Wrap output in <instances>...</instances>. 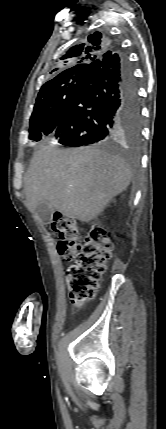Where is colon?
I'll use <instances>...</instances> for the list:
<instances>
[{
	"instance_id": "1",
	"label": "colon",
	"mask_w": 166,
	"mask_h": 429,
	"mask_svg": "<svg viewBox=\"0 0 166 429\" xmlns=\"http://www.w3.org/2000/svg\"><path fill=\"white\" fill-rule=\"evenodd\" d=\"M52 228L58 237V254L68 261H75L68 271L70 301L75 307H83L96 295L112 255V242L105 227L94 224L82 244L77 223L61 215L54 217Z\"/></svg>"
}]
</instances>
